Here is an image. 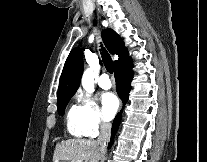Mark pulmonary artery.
Segmentation results:
<instances>
[{
	"mask_svg": "<svg viewBox=\"0 0 207 162\" xmlns=\"http://www.w3.org/2000/svg\"><path fill=\"white\" fill-rule=\"evenodd\" d=\"M99 86L102 89L108 90L112 87L111 80L109 79V76L107 74H102L98 81Z\"/></svg>",
	"mask_w": 207,
	"mask_h": 162,
	"instance_id": "obj_1",
	"label": "pulmonary artery"
}]
</instances>
